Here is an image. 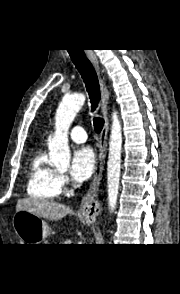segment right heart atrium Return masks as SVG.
Masks as SVG:
<instances>
[{"label":"right heart atrium","instance_id":"obj_1","mask_svg":"<svg viewBox=\"0 0 180 294\" xmlns=\"http://www.w3.org/2000/svg\"><path fill=\"white\" fill-rule=\"evenodd\" d=\"M57 184L59 186L60 191H63L69 185V179L67 175L62 173H57Z\"/></svg>","mask_w":180,"mask_h":294}]
</instances>
